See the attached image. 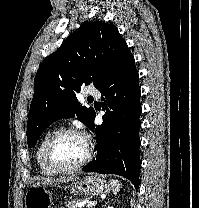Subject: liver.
Instances as JSON below:
<instances>
[{"label": "liver", "instance_id": "obj_1", "mask_svg": "<svg viewBox=\"0 0 199 208\" xmlns=\"http://www.w3.org/2000/svg\"><path fill=\"white\" fill-rule=\"evenodd\" d=\"M76 180H78L77 176L61 177L58 179L44 178V179H40L39 181H37L35 185H53V184L66 183V182L76 181Z\"/></svg>", "mask_w": 199, "mask_h": 208}]
</instances>
